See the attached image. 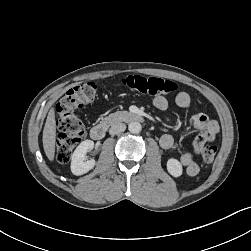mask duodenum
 <instances>
[{
  "instance_id": "1",
  "label": "duodenum",
  "mask_w": 251,
  "mask_h": 251,
  "mask_svg": "<svg viewBox=\"0 0 251 251\" xmlns=\"http://www.w3.org/2000/svg\"><path fill=\"white\" fill-rule=\"evenodd\" d=\"M116 121H125V122H142L143 117L134 112H123L120 116L116 119ZM107 127L106 125H95L90 130V137L93 140H101L104 138L106 134Z\"/></svg>"
}]
</instances>
